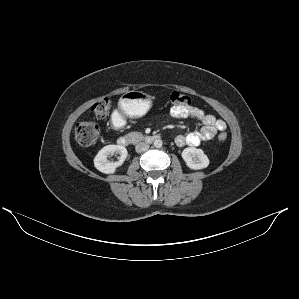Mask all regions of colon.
<instances>
[{
  "mask_svg": "<svg viewBox=\"0 0 299 299\" xmlns=\"http://www.w3.org/2000/svg\"><path fill=\"white\" fill-rule=\"evenodd\" d=\"M168 103L171 106H187L190 104V99L185 94L172 91L167 95ZM110 108V101L103 98L97 101L92 106V112L95 117L101 119L106 117ZM100 134V129L97 124L93 122H81L75 128V139L81 146H90L96 142ZM227 138L226 133L222 132L218 135L219 141H225Z\"/></svg>",
  "mask_w": 299,
  "mask_h": 299,
  "instance_id": "5ec220e1",
  "label": "colon"
}]
</instances>
